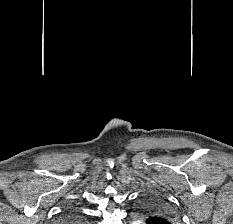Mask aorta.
<instances>
[{
  "instance_id": "obj_1",
  "label": "aorta",
  "mask_w": 233,
  "mask_h": 224,
  "mask_svg": "<svg viewBox=\"0 0 233 224\" xmlns=\"http://www.w3.org/2000/svg\"><path fill=\"white\" fill-rule=\"evenodd\" d=\"M132 224H141L140 222L136 221V222H133Z\"/></svg>"
}]
</instances>
